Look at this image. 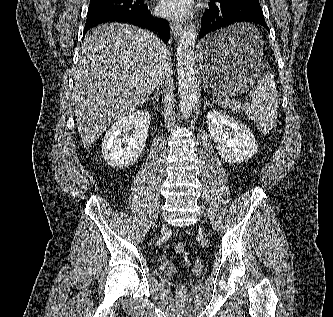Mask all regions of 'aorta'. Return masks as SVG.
<instances>
[{
    "label": "aorta",
    "instance_id": "obj_1",
    "mask_svg": "<svg viewBox=\"0 0 333 317\" xmlns=\"http://www.w3.org/2000/svg\"><path fill=\"white\" fill-rule=\"evenodd\" d=\"M197 30L194 24H188L181 36L177 47L176 64L180 93L179 108L183 116L192 113L197 101V78L194 63V48Z\"/></svg>",
    "mask_w": 333,
    "mask_h": 317
}]
</instances>
